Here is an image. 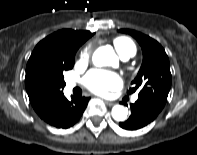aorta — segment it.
Listing matches in <instances>:
<instances>
[{
    "instance_id": "aorta-1",
    "label": "aorta",
    "mask_w": 197,
    "mask_h": 155,
    "mask_svg": "<svg viewBox=\"0 0 197 155\" xmlns=\"http://www.w3.org/2000/svg\"><path fill=\"white\" fill-rule=\"evenodd\" d=\"M116 59L115 53L110 46L98 48L92 56L93 64L102 67L111 64ZM112 117L116 121H124L127 118L128 110L122 105H115L112 108Z\"/></svg>"
}]
</instances>
